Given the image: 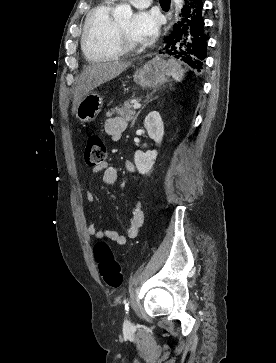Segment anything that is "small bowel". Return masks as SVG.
Returning <instances> with one entry per match:
<instances>
[{"mask_svg":"<svg viewBox=\"0 0 276 363\" xmlns=\"http://www.w3.org/2000/svg\"><path fill=\"white\" fill-rule=\"evenodd\" d=\"M127 128L126 120L120 116L109 117L104 123L105 133L113 140L117 141ZM125 169L129 173H135V166L133 163L127 161L125 163ZM92 174H102V181L107 185H115L118 180L117 170L104 162L101 165L95 166L91 170ZM83 193L86 196L90 205H94L95 199L91 192L82 188ZM144 212L142 208V202L136 200L131 215L129 217V225L125 234L119 233L111 229H98L93 222L86 224V233L89 237L95 239H108L118 245H124L128 240L137 237L140 228L143 225Z\"/></svg>","mask_w":276,"mask_h":363,"instance_id":"small-bowel-1","label":"small bowel"}]
</instances>
